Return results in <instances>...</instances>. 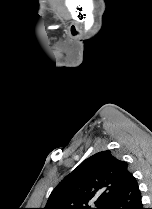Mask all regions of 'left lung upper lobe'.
I'll return each instance as SVG.
<instances>
[{"label":"left lung upper lobe","mask_w":152,"mask_h":209,"mask_svg":"<svg viewBox=\"0 0 152 209\" xmlns=\"http://www.w3.org/2000/svg\"><path fill=\"white\" fill-rule=\"evenodd\" d=\"M127 166L109 150L92 155L56 186L44 209H108L132 175Z\"/></svg>","instance_id":"left-lung-upper-lobe-1"}]
</instances>
